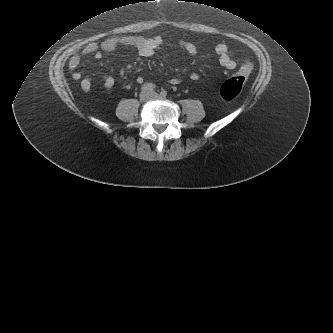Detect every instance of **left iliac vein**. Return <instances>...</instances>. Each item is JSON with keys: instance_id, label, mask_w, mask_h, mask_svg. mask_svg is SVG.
Masks as SVG:
<instances>
[{"instance_id": "4c4485c4", "label": "left iliac vein", "mask_w": 333, "mask_h": 333, "mask_svg": "<svg viewBox=\"0 0 333 333\" xmlns=\"http://www.w3.org/2000/svg\"><path fill=\"white\" fill-rule=\"evenodd\" d=\"M152 97L154 98V99H164L165 97H163L162 95H159V94H157V93H155V92H152Z\"/></svg>"}]
</instances>
